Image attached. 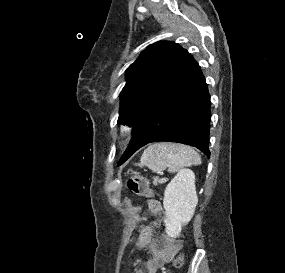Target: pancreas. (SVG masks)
<instances>
[{
    "label": "pancreas",
    "instance_id": "1",
    "mask_svg": "<svg viewBox=\"0 0 285 273\" xmlns=\"http://www.w3.org/2000/svg\"><path fill=\"white\" fill-rule=\"evenodd\" d=\"M164 182H165L164 179L155 178L154 181H153V184H154V185H157L158 183H159V184H162V183H164Z\"/></svg>",
    "mask_w": 285,
    "mask_h": 273
}]
</instances>
